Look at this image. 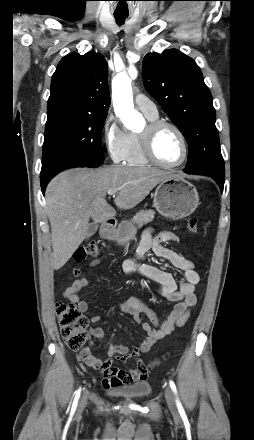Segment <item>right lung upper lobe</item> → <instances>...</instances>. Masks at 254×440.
Wrapping results in <instances>:
<instances>
[{
    "instance_id": "obj_1",
    "label": "right lung upper lobe",
    "mask_w": 254,
    "mask_h": 440,
    "mask_svg": "<svg viewBox=\"0 0 254 440\" xmlns=\"http://www.w3.org/2000/svg\"><path fill=\"white\" fill-rule=\"evenodd\" d=\"M47 110L71 108L107 115L110 97L107 62L101 54L72 52L59 62L51 79Z\"/></svg>"
}]
</instances>
